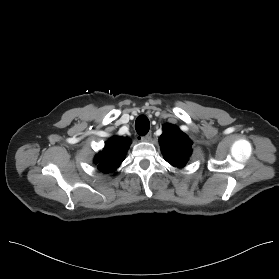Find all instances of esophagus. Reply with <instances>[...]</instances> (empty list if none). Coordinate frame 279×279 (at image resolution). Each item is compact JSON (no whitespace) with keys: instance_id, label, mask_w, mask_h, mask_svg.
<instances>
[{"instance_id":"esophagus-1","label":"esophagus","mask_w":279,"mask_h":279,"mask_svg":"<svg viewBox=\"0 0 279 279\" xmlns=\"http://www.w3.org/2000/svg\"><path fill=\"white\" fill-rule=\"evenodd\" d=\"M151 136H152V134L149 132L145 136L140 137V140L144 141V142H149L151 140Z\"/></svg>"}]
</instances>
